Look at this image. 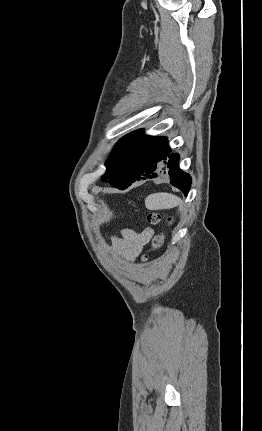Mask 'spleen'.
<instances>
[{
  "label": "spleen",
  "mask_w": 262,
  "mask_h": 431,
  "mask_svg": "<svg viewBox=\"0 0 262 431\" xmlns=\"http://www.w3.org/2000/svg\"><path fill=\"white\" fill-rule=\"evenodd\" d=\"M181 199L171 193L159 192L150 194L145 199V206L149 210H163L177 207Z\"/></svg>",
  "instance_id": "spleen-1"
}]
</instances>
